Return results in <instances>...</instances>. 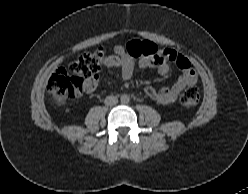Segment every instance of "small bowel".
<instances>
[{"instance_id": "c3829d8e", "label": "small bowel", "mask_w": 248, "mask_h": 194, "mask_svg": "<svg viewBox=\"0 0 248 194\" xmlns=\"http://www.w3.org/2000/svg\"><path fill=\"white\" fill-rule=\"evenodd\" d=\"M172 52L171 50H165L159 52L157 55L142 57L137 65L140 68H146L149 66L156 65L157 71L161 76H165L169 73V65L165 62L167 53ZM159 59L163 61L159 62ZM174 64L182 71L179 79L168 88L156 90L151 86L145 88V93L155 100L156 102L168 105L175 102L180 92L189 85H193L197 82V75L192 68L188 60L182 57V60L177 59ZM104 66L108 68H119L122 76L128 79L132 76L136 62L132 55L127 50V47L117 45L113 49V53L105 58ZM98 77H90L85 79L83 84V91L87 94L93 93L98 85Z\"/></svg>"}]
</instances>
